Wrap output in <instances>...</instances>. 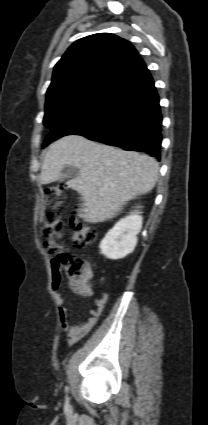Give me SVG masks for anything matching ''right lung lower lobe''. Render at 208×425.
<instances>
[{
    "label": "right lung lower lobe",
    "instance_id": "98d812e1",
    "mask_svg": "<svg viewBox=\"0 0 208 425\" xmlns=\"http://www.w3.org/2000/svg\"><path fill=\"white\" fill-rule=\"evenodd\" d=\"M162 115L153 78L141 59L88 106L58 118L46 141L81 135L160 159Z\"/></svg>",
    "mask_w": 208,
    "mask_h": 425
}]
</instances>
